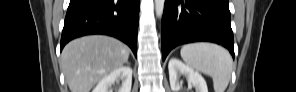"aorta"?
<instances>
[{"label": "aorta", "instance_id": "aorta-1", "mask_svg": "<svg viewBox=\"0 0 296 92\" xmlns=\"http://www.w3.org/2000/svg\"><path fill=\"white\" fill-rule=\"evenodd\" d=\"M165 0H155V12L158 18H161L164 11Z\"/></svg>", "mask_w": 296, "mask_h": 92}]
</instances>
